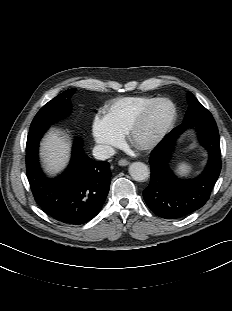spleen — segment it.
Instances as JSON below:
<instances>
[{"label":"spleen","mask_w":232,"mask_h":311,"mask_svg":"<svg viewBox=\"0 0 232 311\" xmlns=\"http://www.w3.org/2000/svg\"><path fill=\"white\" fill-rule=\"evenodd\" d=\"M191 170V166L184 162L180 163L177 167V173L182 176H187L191 172Z\"/></svg>","instance_id":"1"}]
</instances>
